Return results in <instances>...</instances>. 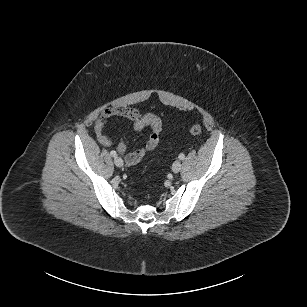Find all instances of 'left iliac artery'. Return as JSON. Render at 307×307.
<instances>
[{"instance_id":"1","label":"left iliac artery","mask_w":307,"mask_h":307,"mask_svg":"<svg viewBox=\"0 0 307 307\" xmlns=\"http://www.w3.org/2000/svg\"><path fill=\"white\" fill-rule=\"evenodd\" d=\"M178 158H179L180 160H183V159L185 158V155H184L183 153H181V154H179Z\"/></svg>"}]
</instances>
